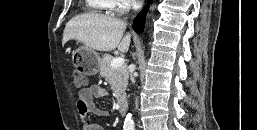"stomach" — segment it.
Masks as SVG:
<instances>
[{
	"instance_id": "obj_1",
	"label": "stomach",
	"mask_w": 257,
	"mask_h": 130,
	"mask_svg": "<svg viewBox=\"0 0 257 130\" xmlns=\"http://www.w3.org/2000/svg\"><path fill=\"white\" fill-rule=\"evenodd\" d=\"M78 66L82 68L83 73L88 75L97 74L100 69L101 58L99 54L86 46L78 48L73 53Z\"/></svg>"
}]
</instances>
